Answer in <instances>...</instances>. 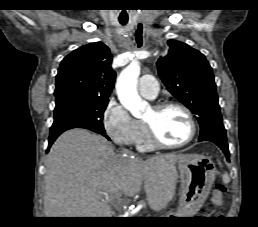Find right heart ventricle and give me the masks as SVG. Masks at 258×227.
I'll list each match as a JSON object with an SVG mask.
<instances>
[{
  "label": "right heart ventricle",
  "mask_w": 258,
  "mask_h": 227,
  "mask_svg": "<svg viewBox=\"0 0 258 227\" xmlns=\"http://www.w3.org/2000/svg\"><path fill=\"white\" fill-rule=\"evenodd\" d=\"M136 145H137V148L143 152L150 151L154 148V145L152 144V142L149 138V135H148V132H147V129L145 128V126H144L143 133H142L140 139L137 141Z\"/></svg>",
  "instance_id": "obj_1"
}]
</instances>
